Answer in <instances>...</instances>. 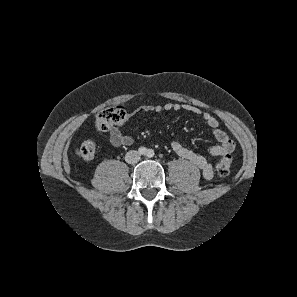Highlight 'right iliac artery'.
I'll return each instance as SVG.
<instances>
[{"label": "right iliac artery", "instance_id": "obj_1", "mask_svg": "<svg viewBox=\"0 0 297 297\" xmlns=\"http://www.w3.org/2000/svg\"><path fill=\"white\" fill-rule=\"evenodd\" d=\"M138 151H139V153L142 154V155H143V154H146V152H147V150H146L145 147H140Z\"/></svg>", "mask_w": 297, "mask_h": 297}]
</instances>
